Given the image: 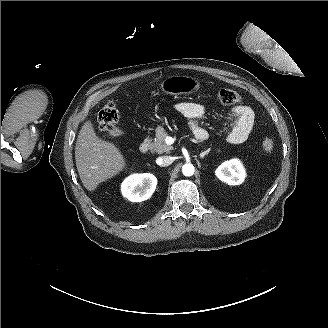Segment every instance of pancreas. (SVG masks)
<instances>
[{"instance_id":"cf45deb5","label":"pancreas","mask_w":328,"mask_h":328,"mask_svg":"<svg viewBox=\"0 0 328 328\" xmlns=\"http://www.w3.org/2000/svg\"><path fill=\"white\" fill-rule=\"evenodd\" d=\"M155 132H156V138L150 144L151 150L159 154H162L164 152L170 153V151L173 150L174 148L173 146L167 145L165 143V138L167 137V133L165 129L162 126H157Z\"/></svg>"}]
</instances>
